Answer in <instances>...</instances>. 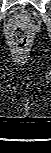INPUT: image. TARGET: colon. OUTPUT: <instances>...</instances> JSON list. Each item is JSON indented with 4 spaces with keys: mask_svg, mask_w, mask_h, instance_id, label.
<instances>
[{
    "mask_svg": "<svg viewBox=\"0 0 51 153\" xmlns=\"http://www.w3.org/2000/svg\"><path fill=\"white\" fill-rule=\"evenodd\" d=\"M10 36H11L13 43L18 47H24L28 45L30 42L29 34L27 33L26 30H24L20 26L14 27Z\"/></svg>",
    "mask_w": 51,
    "mask_h": 153,
    "instance_id": "colon-1",
    "label": "colon"
}]
</instances>
